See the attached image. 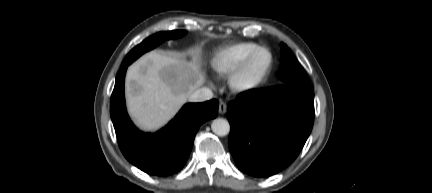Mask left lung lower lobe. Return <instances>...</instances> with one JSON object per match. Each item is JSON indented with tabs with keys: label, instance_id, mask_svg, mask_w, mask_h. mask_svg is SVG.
<instances>
[{
	"label": "left lung lower lobe",
	"instance_id": "1",
	"mask_svg": "<svg viewBox=\"0 0 432 193\" xmlns=\"http://www.w3.org/2000/svg\"><path fill=\"white\" fill-rule=\"evenodd\" d=\"M227 118L238 168L255 177L271 176L294 161L309 137L314 91L300 84L245 91L229 104Z\"/></svg>",
	"mask_w": 432,
	"mask_h": 193
}]
</instances>
